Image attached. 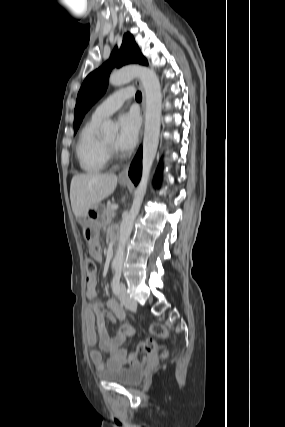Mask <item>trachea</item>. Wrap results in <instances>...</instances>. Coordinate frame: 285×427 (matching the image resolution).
<instances>
[{"instance_id": "3493384b", "label": "trachea", "mask_w": 285, "mask_h": 427, "mask_svg": "<svg viewBox=\"0 0 285 427\" xmlns=\"http://www.w3.org/2000/svg\"><path fill=\"white\" fill-rule=\"evenodd\" d=\"M136 100H141L142 99V94L141 92H137L135 95Z\"/></svg>"}]
</instances>
